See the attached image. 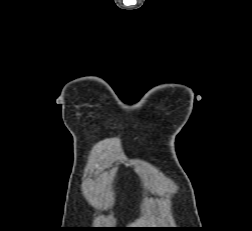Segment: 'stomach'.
<instances>
[{
    "instance_id": "1",
    "label": "stomach",
    "mask_w": 252,
    "mask_h": 231,
    "mask_svg": "<svg viewBox=\"0 0 252 231\" xmlns=\"http://www.w3.org/2000/svg\"><path fill=\"white\" fill-rule=\"evenodd\" d=\"M148 228H159V227H148ZM146 230H158V229H146Z\"/></svg>"
}]
</instances>
